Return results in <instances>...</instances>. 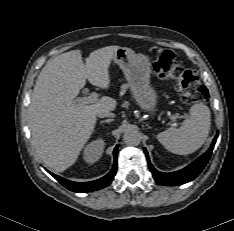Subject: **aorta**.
<instances>
[{
    "label": "aorta",
    "instance_id": "1",
    "mask_svg": "<svg viewBox=\"0 0 234 231\" xmlns=\"http://www.w3.org/2000/svg\"><path fill=\"white\" fill-rule=\"evenodd\" d=\"M123 142L128 146H138L141 142V133L135 128H128L123 135Z\"/></svg>",
    "mask_w": 234,
    "mask_h": 231
}]
</instances>
